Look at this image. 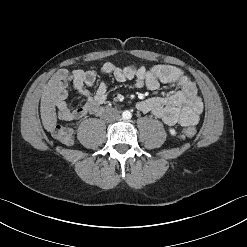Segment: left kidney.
<instances>
[{
  "label": "left kidney",
  "mask_w": 247,
  "mask_h": 247,
  "mask_svg": "<svg viewBox=\"0 0 247 247\" xmlns=\"http://www.w3.org/2000/svg\"><path fill=\"white\" fill-rule=\"evenodd\" d=\"M169 132L171 135L175 136L176 135V131L174 129H169Z\"/></svg>",
  "instance_id": "5707ae66"
}]
</instances>
